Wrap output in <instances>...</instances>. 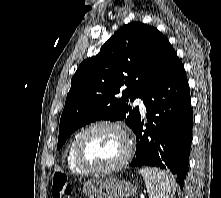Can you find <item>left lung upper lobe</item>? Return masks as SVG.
I'll return each mask as SVG.
<instances>
[{
  "instance_id": "1",
  "label": "left lung upper lobe",
  "mask_w": 221,
  "mask_h": 198,
  "mask_svg": "<svg viewBox=\"0 0 221 198\" xmlns=\"http://www.w3.org/2000/svg\"><path fill=\"white\" fill-rule=\"evenodd\" d=\"M174 53L155 27L140 22L123 26L74 74L60 119L57 148L75 130L96 120H125L133 130L140 113L128 102L144 99Z\"/></svg>"
}]
</instances>
